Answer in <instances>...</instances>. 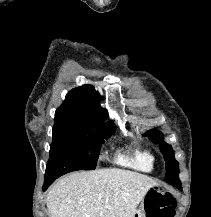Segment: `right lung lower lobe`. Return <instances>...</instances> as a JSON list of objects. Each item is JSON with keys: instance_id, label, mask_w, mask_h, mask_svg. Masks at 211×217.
I'll return each instance as SVG.
<instances>
[{"instance_id": "98d812e1", "label": "right lung lower lobe", "mask_w": 211, "mask_h": 217, "mask_svg": "<svg viewBox=\"0 0 211 217\" xmlns=\"http://www.w3.org/2000/svg\"><path fill=\"white\" fill-rule=\"evenodd\" d=\"M58 177H54L51 179H45L44 185H43V191H45Z\"/></svg>"}]
</instances>
